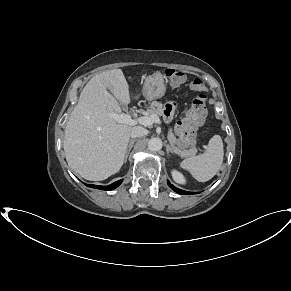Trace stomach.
I'll return each mask as SVG.
<instances>
[{"label":"stomach","mask_w":291,"mask_h":291,"mask_svg":"<svg viewBox=\"0 0 291 291\" xmlns=\"http://www.w3.org/2000/svg\"><path fill=\"white\" fill-rule=\"evenodd\" d=\"M166 84L164 76L161 73H154L146 77L142 94L147 100L161 98L165 95Z\"/></svg>","instance_id":"obj_1"}]
</instances>
